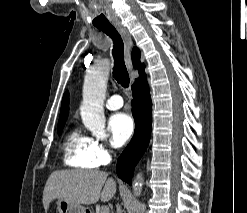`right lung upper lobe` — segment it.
<instances>
[{"mask_svg":"<svg viewBox=\"0 0 247 213\" xmlns=\"http://www.w3.org/2000/svg\"><path fill=\"white\" fill-rule=\"evenodd\" d=\"M133 66L139 70L140 77L145 76L144 65L140 63V51L134 47L132 52ZM69 93L66 92L62 99L61 111L58 124L65 123L69 111Z\"/></svg>","mask_w":247,"mask_h":213,"instance_id":"1","label":"right lung upper lobe"}]
</instances>
